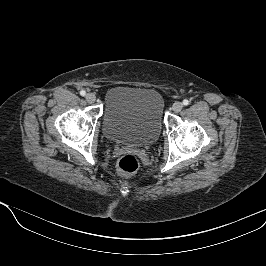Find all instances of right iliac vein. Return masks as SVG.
I'll return each mask as SVG.
<instances>
[{"label":"right iliac vein","instance_id":"1","mask_svg":"<svg viewBox=\"0 0 266 266\" xmlns=\"http://www.w3.org/2000/svg\"><path fill=\"white\" fill-rule=\"evenodd\" d=\"M85 98L88 103H94L96 100V96L93 93H88Z\"/></svg>","mask_w":266,"mask_h":266}]
</instances>
